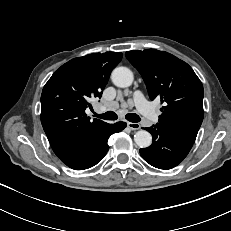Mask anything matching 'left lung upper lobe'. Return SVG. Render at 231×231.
<instances>
[{"mask_svg":"<svg viewBox=\"0 0 231 231\" xmlns=\"http://www.w3.org/2000/svg\"><path fill=\"white\" fill-rule=\"evenodd\" d=\"M126 57L142 75L150 99L164 104L158 124L194 143L203 120L204 90L193 69L154 49L128 51Z\"/></svg>","mask_w":231,"mask_h":231,"instance_id":"obj_1","label":"left lung upper lobe"}]
</instances>
